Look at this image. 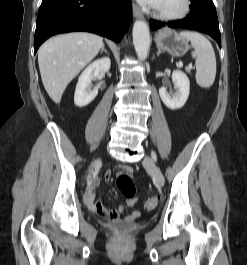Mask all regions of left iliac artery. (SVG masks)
<instances>
[{
  "mask_svg": "<svg viewBox=\"0 0 247 265\" xmlns=\"http://www.w3.org/2000/svg\"><path fill=\"white\" fill-rule=\"evenodd\" d=\"M152 158L156 161V155L154 152H152Z\"/></svg>",
  "mask_w": 247,
  "mask_h": 265,
  "instance_id": "44dca946",
  "label": "left iliac artery"
}]
</instances>
